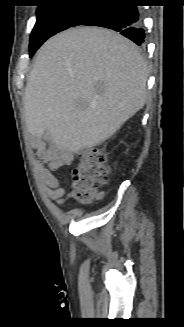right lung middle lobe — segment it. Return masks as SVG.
<instances>
[{"instance_id":"right-lung-middle-lobe-1","label":"right lung middle lobe","mask_w":184,"mask_h":327,"mask_svg":"<svg viewBox=\"0 0 184 327\" xmlns=\"http://www.w3.org/2000/svg\"><path fill=\"white\" fill-rule=\"evenodd\" d=\"M76 1L79 0H55L38 6L36 24L30 36V57L48 38L71 27L90 7L76 4Z\"/></svg>"}]
</instances>
